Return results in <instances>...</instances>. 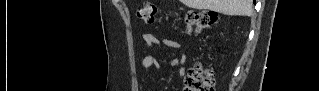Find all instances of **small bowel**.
Listing matches in <instances>:
<instances>
[{"label":"small bowel","mask_w":319,"mask_h":91,"mask_svg":"<svg viewBox=\"0 0 319 91\" xmlns=\"http://www.w3.org/2000/svg\"><path fill=\"white\" fill-rule=\"evenodd\" d=\"M143 40L147 45L154 47L168 48L174 50L179 49L181 47V44L178 40L170 38L159 39L152 33L143 34ZM185 62L186 55L180 54L179 56L171 59L169 61V64L173 67H177L179 76L184 77L186 75V68L184 66ZM141 66L146 69L157 68L159 66V63L156 57L148 55L142 58Z\"/></svg>","instance_id":"c3829d8e"}]
</instances>
